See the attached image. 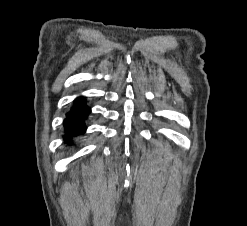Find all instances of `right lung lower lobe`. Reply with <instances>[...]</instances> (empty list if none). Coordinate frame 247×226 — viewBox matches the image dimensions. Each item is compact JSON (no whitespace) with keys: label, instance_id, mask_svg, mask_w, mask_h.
Instances as JSON below:
<instances>
[{"label":"right lung lower lobe","instance_id":"1","mask_svg":"<svg viewBox=\"0 0 247 226\" xmlns=\"http://www.w3.org/2000/svg\"><path fill=\"white\" fill-rule=\"evenodd\" d=\"M90 109L85 105L81 98L76 99L74 107L67 114V119L64 121L66 132L69 136H75L85 132L86 127L82 121L89 114ZM67 143H71L70 140L66 139Z\"/></svg>","mask_w":247,"mask_h":226}]
</instances>
